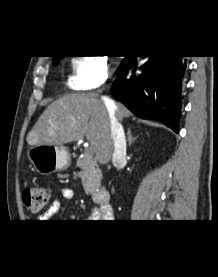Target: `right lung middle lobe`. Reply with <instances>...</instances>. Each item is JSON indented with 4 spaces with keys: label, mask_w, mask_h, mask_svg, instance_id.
I'll return each mask as SVG.
<instances>
[{
    "label": "right lung middle lobe",
    "mask_w": 218,
    "mask_h": 277,
    "mask_svg": "<svg viewBox=\"0 0 218 277\" xmlns=\"http://www.w3.org/2000/svg\"><path fill=\"white\" fill-rule=\"evenodd\" d=\"M61 58H62V56L57 59H54L53 60L54 64H58ZM125 60H127V58H125L123 61H125Z\"/></svg>",
    "instance_id": "1"
}]
</instances>
